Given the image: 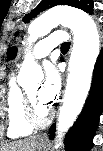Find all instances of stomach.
<instances>
[{
	"instance_id": "obj_1",
	"label": "stomach",
	"mask_w": 103,
	"mask_h": 151,
	"mask_svg": "<svg viewBox=\"0 0 103 151\" xmlns=\"http://www.w3.org/2000/svg\"><path fill=\"white\" fill-rule=\"evenodd\" d=\"M47 148V143L43 139L37 141V150L44 151Z\"/></svg>"
}]
</instances>
